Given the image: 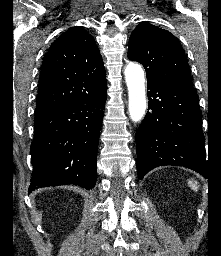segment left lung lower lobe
Masks as SVG:
<instances>
[{
    "instance_id": "obj_1",
    "label": "left lung lower lobe",
    "mask_w": 221,
    "mask_h": 256,
    "mask_svg": "<svg viewBox=\"0 0 221 256\" xmlns=\"http://www.w3.org/2000/svg\"><path fill=\"white\" fill-rule=\"evenodd\" d=\"M147 90L150 111L135 136L139 179L163 165L184 166L206 178L202 113L193 86L151 81Z\"/></svg>"
}]
</instances>
